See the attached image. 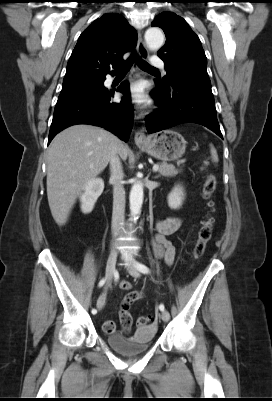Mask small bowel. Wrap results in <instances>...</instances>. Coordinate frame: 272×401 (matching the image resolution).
<instances>
[{"mask_svg":"<svg viewBox=\"0 0 272 401\" xmlns=\"http://www.w3.org/2000/svg\"><path fill=\"white\" fill-rule=\"evenodd\" d=\"M181 227V219L178 217H167L158 221L157 223V234L153 239V250L155 255L163 259L167 265H172L176 249L171 241L167 239L168 235L177 232ZM120 288L122 290L128 291L131 288L129 281H122L120 283ZM143 294L139 291L129 292L122 300L119 309V319L122 325L124 333H130L132 328V316L130 313V308L136 301L140 300ZM104 305L105 300L97 302V304ZM116 325L112 320H106L104 323V330L106 333L110 334L115 331Z\"/></svg>","mask_w":272,"mask_h":401,"instance_id":"1","label":"small bowel"}]
</instances>
